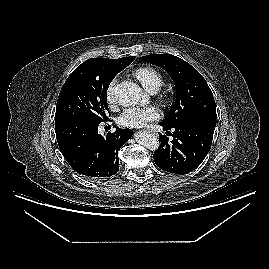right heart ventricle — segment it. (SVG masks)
Returning <instances> with one entry per match:
<instances>
[{"label": "right heart ventricle", "instance_id": "right-heart-ventricle-1", "mask_svg": "<svg viewBox=\"0 0 269 269\" xmlns=\"http://www.w3.org/2000/svg\"><path fill=\"white\" fill-rule=\"evenodd\" d=\"M135 76L141 82L143 87L151 92L153 90H159L163 85V78L161 74L152 67H141L136 70Z\"/></svg>", "mask_w": 269, "mask_h": 269}]
</instances>
